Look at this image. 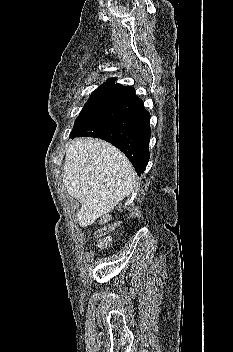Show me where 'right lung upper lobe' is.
<instances>
[{"label": "right lung upper lobe", "instance_id": "cb5924a9", "mask_svg": "<svg viewBox=\"0 0 233 352\" xmlns=\"http://www.w3.org/2000/svg\"><path fill=\"white\" fill-rule=\"evenodd\" d=\"M108 81H110V82L109 83H105V84L101 85L100 87H125V88L134 89L133 87H127V86H123L121 84L115 83L114 79H112V78H110Z\"/></svg>", "mask_w": 233, "mask_h": 352}]
</instances>
